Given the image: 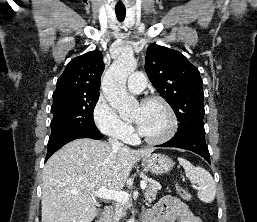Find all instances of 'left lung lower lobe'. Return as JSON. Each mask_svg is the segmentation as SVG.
<instances>
[{"label":"left lung lower lobe","mask_w":257,"mask_h":222,"mask_svg":"<svg viewBox=\"0 0 257 222\" xmlns=\"http://www.w3.org/2000/svg\"><path fill=\"white\" fill-rule=\"evenodd\" d=\"M157 147H177L190 150L199 154L210 163V154L205 142L204 133H188L182 136H174L168 142L157 145Z\"/></svg>","instance_id":"left-lung-lower-lobe-1"}]
</instances>
